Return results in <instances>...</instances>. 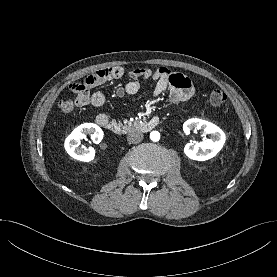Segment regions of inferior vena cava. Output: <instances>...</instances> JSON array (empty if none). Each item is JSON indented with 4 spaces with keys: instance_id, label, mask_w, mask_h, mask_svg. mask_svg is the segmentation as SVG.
Returning a JSON list of instances; mask_svg holds the SVG:
<instances>
[{
    "instance_id": "602c4592",
    "label": "inferior vena cava",
    "mask_w": 277,
    "mask_h": 277,
    "mask_svg": "<svg viewBox=\"0 0 277 277\" xmlns=\"http://www.w3.org/2000/svg\"><path fill=\"white\" fill-rule=\"evenodd\" d=\"M143 140V134L140 132H132L127 136V141L132 144H137Z\"/></svg>"
}]
</instances>
